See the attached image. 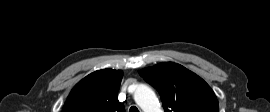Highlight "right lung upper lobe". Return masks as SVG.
<instances>
[{"instance_id": "1", "label": "right lung upper lobe", "mask_w": 270, "mask_h": 112, "mask_svg": "<svg viewBox=\"0 0 270 112\" xmlns=\"http://www.w3.org/2000/svg\"><path fill=\"white\" fill-rule=\"evenodd\" d=\"M123 73L103 69L83 78L70 92L62 112H125L118 100Z\"/></svg>"}]
</instances>
